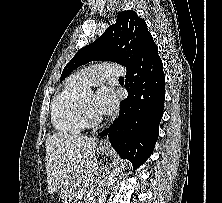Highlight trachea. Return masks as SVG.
Masks as SVG:
<instances>
[{"label": "trachea", "instance_id": "obj_1", "mask_svg": "<svg viewBox=\"0 0 222 203\" xmlns=\"http://www.w3.org/2000/svg\"><path fill=\"white\" fill-rule=\"evenodd\" d=\"M119 79H120V80H124V78H123V77H120Z\"/></svg>", "mask_w": 222, "mask_h": 203}]
</instances>
